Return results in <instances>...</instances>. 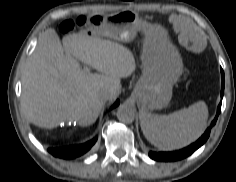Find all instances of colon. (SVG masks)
Here are the masks:
<instances>
[{"label": "colon", "mask_w": 236, "mask_h": 182, "mask_svg": "<svg viewBox=\"0 0 236 182\" xmlns=\"http://www.w3.org/2000/svg\"><path fill=\"white\" fill-rule=\"evenodd\" d=\"M101 22H102V18L100 16H93L91 18L80 16L76 18L75 20L64 21L61 24L60 29L63 33H68L77 27H84L88 24L99 25Z\"/></svg>", "instance_id": "obj_1"}]
</instances>
